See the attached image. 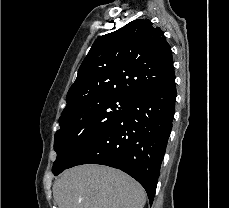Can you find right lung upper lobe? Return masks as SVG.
Returning a JSON list of instances; mask_svg holds the SVG:
<instances>
[{
    "label": "right lung upper lobe",
    "instance_id": "obj_1",
    "mask_svg": "<svg viewBox=\"0 0 229 208\" xmlns=\"http://www.w3.org/2000/svg\"><path fill=\"white\" fill-rule=\"evenodd\" d=\"M173 75L172 51L162 30L148 19L131 21L95 40L67 93L61 117L105 96L135 99Z\"/></svg>",
    "mask_w": 229,
    "mask_h": 208
}]
</instances>
